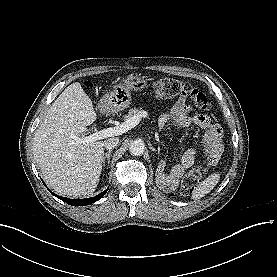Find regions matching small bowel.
I'll return each instance as SVG.
<instances>
[{
    "label": "small bowel",
    "instance_id": "small-bowel-1",
    "mask_svg": "<svg viewBox=\"0 0 277 277\" xmlns=\"http://www.w3.org/2000/svg\"><path fill=\"white\" fill-rule=\"evenodd\" d=\"M168 123H171L178 129L191 125L208 129L199 152L207 158L215 153H220L223 149V131L220 125L213 122L208 115L194 113V110L186 104L184 99L177 100L169 112L161 115L157 125L159 128H164ZM197 154L198 152L194 149H189L183 153L177 165L178 176L183 175L193 166Z\"/></svg>",
    "mask_w": 277,
    "mask_h": 277
}]
</instances>
